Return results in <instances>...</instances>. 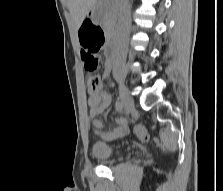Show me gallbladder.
I'll use <instances>...</instances> for the list:
<instances>
[{"label":"gallbladder","mask_w":223,"mask_h":191,"mask_svg":"<svg viewBox=\"0 0 223 191\" xmlns=\"http://www.w3.org/2000/svg\"><path fill=\"white\" fill-rule=\"evenodd\" d=\"M92 20L96 23H99L100 22V16L98 13H95L92 17Z\"/></svg>","instance_id":"bac80fb5"}]
</instances>
